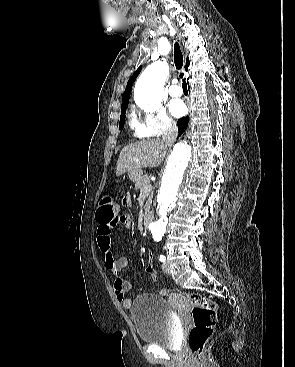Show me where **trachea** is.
<instances>
[{"mask_svg": "<svg viewBox=\"0 0 295 367\" xmlns=\"http://www.w3.org/2000/svg\"><path fill=\"white\" fill-rule=\"evenodd\" d=\"M174 63H175L176 69L181 70L182 65H183V55H182L180 46L177 42L174 44ZM181 76H183L182 73H181ZM182 88L184 91H188L186 82L182 83Z\"/></svg>", "mask_w": 295, "mask_h": 367, "instance_id": "trachea-1", "label": "trachea"}]
</instances>
